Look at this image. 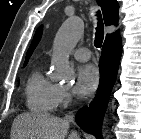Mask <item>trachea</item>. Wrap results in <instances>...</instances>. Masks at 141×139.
Listing matches in <instances>:
<instances>
[{"label":"trachea","instance_id":"1","mask_svg":"<svg viewBox=\"0 0 141 139\" xmlns=\"http://www.w3.org/2000/svg\"><path fill=\"white\" fill-rule=\"evenodd\" d=\"M98 25L96 27L94 45L100 48L104 38V25L100 11L97 12Z\"/></svg>","mask_w":141,"mask_h":139}]
</instances>
